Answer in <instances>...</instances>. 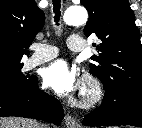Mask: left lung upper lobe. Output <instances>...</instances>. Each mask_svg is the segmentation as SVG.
Segmentation results:
<instances>
[{"label": "left lung upper lobe", "instance_id": "1", "mask_svg": "<svg viewBox=\"0 0 142 128\" xmlns=\"http://www.w3.org/2000/svg\"><path fill=\"white\" fill-rule=\"evenodd\" d=\"M89 19L84 28L87 37L96 35L93 44L99 53L90 71L105 88V96L142 94V44L135 15L128 0H81Z\"/></svg>", "mask_w": 142, "mask_h": 128}]
</instances>
